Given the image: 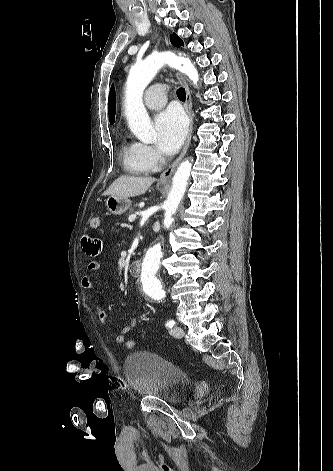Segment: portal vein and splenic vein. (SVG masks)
I'll use <instances>...</instances> for the list:
<instances>
[{
    "mask_svg": "<svg viewBox=\"0 0 333 471\" xmlns=\"http://www.w3.org/2000/svg\"><path fill=\"white\" fill-rule=\"evenodd\" d=\"M135 218H136V214H132V215L129 216L128 220H129V222H133L135 220Z\"/></svg>",
    "mask_w": 333,
    "mask_h": 471,
    "instance_id": "obj_1",
    "label": "portal vein and splenic vein"
}]
</instances>
